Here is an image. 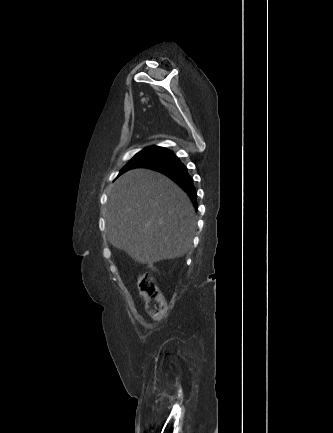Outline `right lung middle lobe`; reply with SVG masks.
Segmentation results:
<instances>
[{"label":"right lung middle lobe","instance_id":"right-lung-middle-lobe-1","mask_svg":"<svg viewBox=\"0 0 333 433\" xmlns=\"http://www.w3.org/2000/svg\"><path fill=\"white\" fill-rule=\"evenodd\" d=\"M171 153L170 150L161 147H148L137 153L128 164L120 171V174L132 168L141 167L143 164L155 161Z\"/></svg>","mask_w":333,"mask_h":433}]
</instances>
